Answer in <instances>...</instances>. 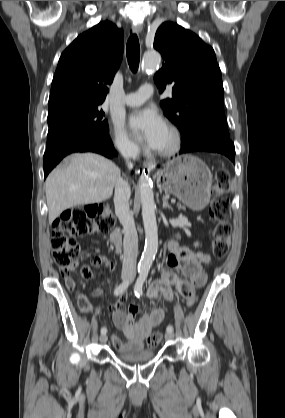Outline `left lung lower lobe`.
I'll return each instance as SVG.
<instances>
[{"mask_svg":"<svg viewBox=\"0 0 285 418\" xmlns=\"http://www.w3.org/2000/svg\"><path fill=\"white\" fill-rule=\"evenodd\" d=\"M194 151H209L221 153L231 159L235 160V147L230 138L221 136H208L195 140L187 145L181 146L180 154Z\"/></svg>","mask_w":285,"mask_h":418,"instance_id":"1","label":"left lung lower lobe"}]
</instances>
